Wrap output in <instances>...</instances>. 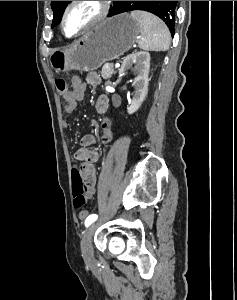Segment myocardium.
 Masks as SVG:
<instances>
[{
    "instance_id": "1",
    "label": "myocardium",
    "mask_w": 237,
    "mask_h": 300,
    "mask_svg": "<svg viewBox=\"0 0 237 300\" xmlns=\"http://www.w3.org/2000/svg\"><path fill=\"white\" fill-rule=\"evenodd\" d=\"M82 2L83 1H69L63 10V13L61 16V21H60V28H61L62 34L67 38L72 39V38H77V37L83 35L90 29L96 27L101 22H103L107 18L108 14L110 12L111 1H95L98 6V11H97L96 15L93 16L91 18V20H89L77 33H75L73 35H68L66 32V29H65L68 15L75 6H77L78 4H80Z\"/></svg>"
}]
</instances>
